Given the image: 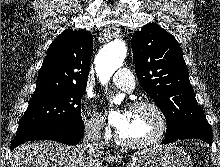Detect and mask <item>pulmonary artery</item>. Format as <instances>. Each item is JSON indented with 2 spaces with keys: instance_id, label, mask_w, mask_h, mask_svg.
Segmentation results:
<instances>
[{
  "instance_id": "pulmonary-artery-1",
  "label": "pulmonary artery",
  "mask_w": 220,
  "mask_h": 167,
  "mask_svg": "<svg viewBox=\"0 0 220 167\" xmlns=\"http://www.w3.org/2000/svg\"><path fill=\"white\" fill-rule=\"evenodd\" d=\"M111 79L121 90L130 92L135 88V79L127 68L118 69Z\"/></svg>"
}]
</instances>
